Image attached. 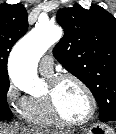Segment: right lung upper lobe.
Instances as JSON below:
<instances>
[{
    "instance_id": "1",
    "label": "right lung upper lobe",
    "mask_w": 116,
    "mask_h": 134,
    "mask_svg": "<svg viewBox=\"0 0 116 134\" xmlns=\"http://www.w3.org/2000/svg\"><path fill=\"white\" fill-rule=\"evenodd\" d=\"M27 17L21 3L0 5V77H8V55L13 45L27 32Z\"/></svg>"
}]
</instances>
